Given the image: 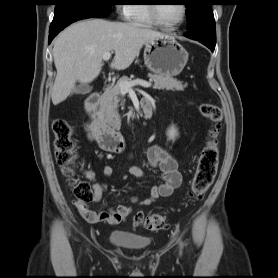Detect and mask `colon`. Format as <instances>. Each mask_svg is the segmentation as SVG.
Segmentation results:
<instances>
[{
    "label": "colon",
    "instance_id": "obj_1",
    "mask_svg": "<svg viewBox=\"0 0 278 278\" xmlns=\"http://www.w3.org/2000/svg\"><path fill=\"white\" fill-rule=\"evenodd\" d=\"M200 114L211 122L205 145L198 159L197 169L191 183L190 196L194 200H201L212 185L219 161L220 130L223 114L215 104L203 103L199 105ZM55 158L65 177L71 180V188L76 203L86 205L93 198V192L88 182L75 178L77 163V143L74 138L72 125L63 118L53 121ZM134 224L149 231H156L167 227V220L159 214H137Z\"/></svg>",
    "mask_w": 278,
    "mask_h": 278
}]
</instances>
